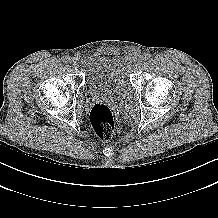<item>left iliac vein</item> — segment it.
<instances>
[{
    "mask_svg": "<svg viewBox=\"0 0 218 218\" xmlns=\"http://www.w3.org/2000/svg\"><path fill=\"white\" fill-rule=\"evenodd\" d=\"M142 61H143V57L140 55L137 57V62L138 64H142Z\"/></svg>",
    "mask_w": 218,
    "mask_h": 218,
    "instance_id": "left-iliac-vein-1",
    "label": "left iliac vein"
}]
</instances>
